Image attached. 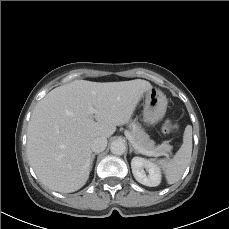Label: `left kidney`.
<instances>
[{
  "label": "left kidney",
  "instance_id": "left-kidney-1",
  "mask_svg": "<svg viewBox=\"0 0 229 229\" xmlns=\"http://www.w3.org/2000/svg\"><path fill=\"white\" fill-rule=\"evenodd\" d=\"M131 168L135 179L139 183L149 187H155L160 184V169L149 160L141 157H134L131 161ZM144 169L148 172V175H146Z\"/></svg>",
  "mask_w": 229,
  "mask_h": 229
}]
</instances>
